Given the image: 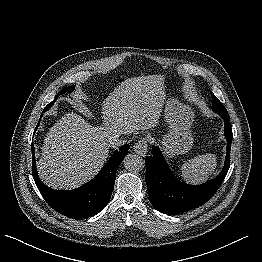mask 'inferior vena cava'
Segmentation results:
<instances>
[{"instance_id": "1", "label": "inferior vena cava", "mask_w": 262, "mask_h": 262, "mask_svg": "<svg viewBox=\"0 0 262 262\" xmlns=\"http://www.w3.org/2000/svg\"><path fill=\"white\" fill-rule=\"evenodd\" d=\"M125 142H126L125 140L119 139L118 137H111L108 140V146L109 147H115V146H119L121 144H124Z\"/></svg>"}]
</instances>
